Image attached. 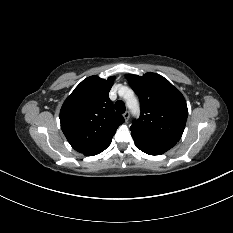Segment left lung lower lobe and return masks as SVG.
Wrapping results in <instances>:
<instances>
[{
    "label": "left lung lower lobe",
    "instance_id": "left-lung-lower-lobe-1",
    "mask_svg": "<svg viewBox=\"0 0 233 233\" xmlns=\"http://www.w3.org/2000/svg\"><path fill=\"white\" fill-rule=\"evenodd\" d=\"M136 146L149 155H160L175 146L176 142L156 139V138H139L132 134Z\"/></svg>",
    "mask_w": 233,
    "mask_h": 233
}]
</instances>
